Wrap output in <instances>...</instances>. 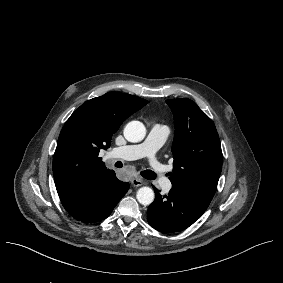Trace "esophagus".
Wrapping results in <instances>:
<instances>
[{
    "mask_svg": "<svg viewBox=\"0 0 283 283\" xmlns=\"http://www.w3.org/2000/svg\"><path fill=\"white\" fill-rule=\"evenodd\" d=\"M131 184L135 187H139L144 184V182L140 179L133 178L131 179Z\"/></svg>",
    "mask_w": 283,
    "mask_h": 283,
    "instance_id": "esophagus-1",
    "label": "esophagus"
}]
</instances>
